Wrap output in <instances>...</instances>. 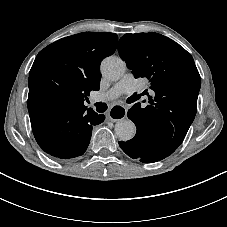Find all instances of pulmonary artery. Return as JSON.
Returning a JSON list of instances; mask_svg holds the SVG:
<instances>
[{"label":"pulmonary artery","instance_id":"1","mask_svg":"<svg viewBox=\"0 0 227 227\" xmlns=\"http://www.w3.org/2000/svg\"><path fill=\"white\" fill-rule=\"evenodd\" d=\"M137 86V80L132 74H125L109 91L97 92L91 100L96 101H108L118 98L119 96L132 92ZM154 96L155 93L152 92Z\"/></svg>","mask_w":227,"mask_h":227}]
</instances>
